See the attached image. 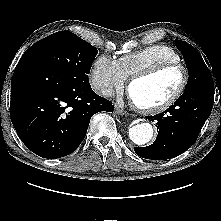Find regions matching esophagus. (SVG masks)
<instances>
[{"instance_id": "esophagus-1", "label": "esophagus", "mask_w": 221, "mask_h": 221, "mask_svg": "<svg viewBox=\"0 0 221 221\" xmlns=\"http://www.w3.org/2000/svg\"><path fill=\"white\" fill-rule=\"evenodd\" d=\"M120 105H119V102L116 104L115 113H117L119 115H127V112L123 108H121Z\"/></svg>"}]
</instances>
